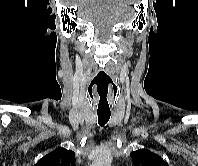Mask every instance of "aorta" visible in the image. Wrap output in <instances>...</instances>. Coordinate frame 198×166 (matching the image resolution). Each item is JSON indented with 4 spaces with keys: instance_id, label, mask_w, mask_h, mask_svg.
<instances>
[{
    "instance_id": "762f6f07",
    "label": "aorta",
    "mask_w": 198,
    "mask_h": 166,
    "mask_svg": "<svg viewBox=\"0 0 198 166\" xmlns=\"http://www.w3.org/2000/svg\"><path fill=\"white\" fill-rule=\"evenodd\" d=\"M112 157L108 154L98 156L91 166H111Z\"/></svg>"
}]
</instances>
